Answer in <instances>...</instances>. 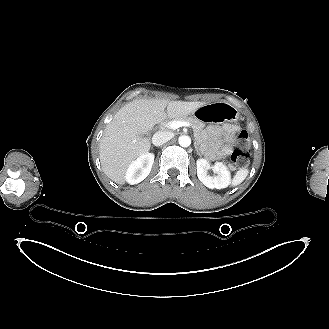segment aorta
<instances>
[{
  "label": "aorta",
  "mask_w": 329,
  "mask_h": 329,
  "mask_svg": "<svg viewBox=\"0 0 329 329\" xmlns=\"http://www.w3.org/2000/svg\"><path fill=\"white\" fill-rule=\"evenodd\" d=\"M179 144L182 147H188L191 144V138L186 135H182L179 137Z\"/></svg>",
  "instance_id": "762f6f07"
}]
</instances>
